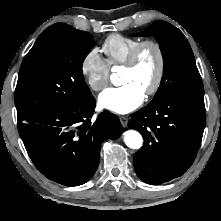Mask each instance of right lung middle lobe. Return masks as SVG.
<instances>
[{
	"label": "right lung middle lobe",
	"instance_id": "right-lung-middle-lobe-1",
	"mask_svg": "<svg viewBox=\"0 0 221 221\" xmlns=\"http://www.w3.org/2000/svg\"><path fill=\"white\" fill-rule=\"evenodd\" d=\"M93 47V36L55 33L39 36L20 67L15 90L18 121L42 113L66 110L92 94L82 65Z\"/></svg>",
	"mask_w": 221,
	"mask_h": 221
}]
</instances>
